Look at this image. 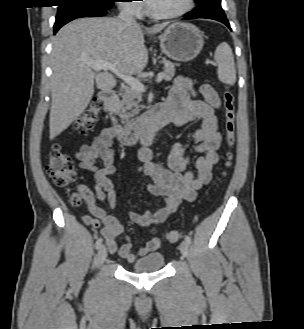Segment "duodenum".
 <instances>
[{"label": "duodenum", "instance_id": "410a0bca", "mask_svg": "<svg viewBox=\"0 0 304 329\" xmlns=\"http://www.w3.org/2000/svg\"><path fill=\"white\" fill-rule=\"evenodd\" d=\"M99 99L102 102L103 112L112 122L119 141L125 146L132 145L138 140H150L159 129L173 121L172 113L165 106L159 105L126 125H122L116 113L115 92L111 89L102 90L99 93Z\"/></svg>", "mask_w": 304, "mask_h": 329}]
</instances>
